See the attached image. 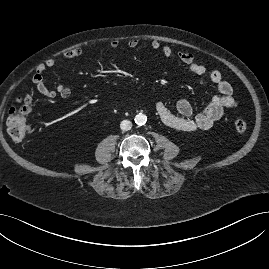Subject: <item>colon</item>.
I'll return each mask as SVG.
<instances>
[{
	"mask_svg": "<svg viewBox=\"0 0 269 269\" xmlns=\"http://www.w3.org/2000/svg\"><path fill=\"white\" fill-rule=\"evenodd\" d=\"M33 96L25 94L19 96L15 105L10 109L7 120L6 130L8 135L17 142L26 139L30 132L29 125L27 124V116L32 112ZM235 130L242 134L247 130V123L242 118H237L234 121Z\"/></svg>",
	"mask_w": 269,
	"mask_h": 269,
	"instance_id": "obj_1",
	"label": "colon"
}]
</instances>
